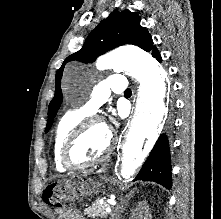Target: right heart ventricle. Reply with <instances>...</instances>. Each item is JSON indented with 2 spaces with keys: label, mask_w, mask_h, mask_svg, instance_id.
I'll return each instance as SVG.
<instances>
[{
  "label": "right heart ventricle",
  "mask_w": 221,
  "mask_h": 219,
  "mask_svg": "<svg viewBox=\"0 0 221 219\" xmlns=\"http://www.w3.org/2000/svg\"><path fill=\"white\" fill-rule=\"evenodd\" d=\"M87 113L81 110H72L66 112L57 122L53 136V163L54 167L59 172H65L68 168L61 161V150L63 144L70 132L77 126Z\"/></svg>",
  "instance_id": "obj_1"
}]
</instances>
